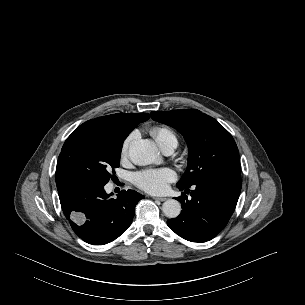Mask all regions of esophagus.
I'll return each mask as SVG.
<instances>
[{"label": "esophagus", "mask_w": 305, "mask_h": 305, "mask_svg": "<svg viewBox=\"0 0 305 305\" xmlns=\"http://www.w3.org/2000/svg\"><path fill=\"white\" fill-rule=\"evenodd\" d=\"M154 200H158V201H166L167 198L166 197H153Z\"/></svg>", "instance_id": "34e87169"}]
</instances>
